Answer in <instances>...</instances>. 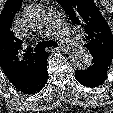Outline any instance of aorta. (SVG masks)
Returning a JSON list of instances; mask_svg holds the SVG:
<instances>
[{
    "mask_svg": "<svg viewBox=\"0 0 113 113\" xmlns=\"http://www.w3.org/2000/svg\"><path fill=\"white\" fill-rule=\"evenodd\" d=\"M70 60L74 67L78 69H86L91 65L92 56L85 48L75 49L70 54Z\"/></svg>",
    "mask_w": 113,
    "mask_h": 113,
    "instance_id": "obj_1",
    "label": "aorta"
}]
</instances>
